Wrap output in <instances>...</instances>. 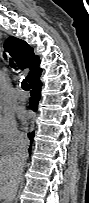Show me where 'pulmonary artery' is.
I'll return each mask as SVG.
<instances>
[{
	"label": "pulmonary artery",
	"mask_w": 89,
	"mask_h": 203,
	"mask_svg": "<svg viewBox=\"0 0 89 203\" xmlns=\"http://www.w3.org/2000/svg\"><path fill=\"white\" fill-rule=\"evenodd\" d=\"M16 98L20 101H25L28 99V94L23 90H17Z\"/></svg>",
	"instance_id": "obj_1"
}]
</instances>
